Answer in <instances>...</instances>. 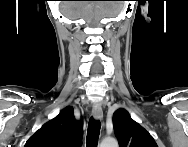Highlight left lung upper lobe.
Wrapping results in <instances>:
<instances>
[{"instance_id": "left-lung-upper-lobe-1", "label": "left lung upper lobe", "mask_w": 188, "mask_h": 147, "mask_svg": "<svg viewBox=\"0 0 188 147\" xmlns=\"http://www.w3.org/2000/svg\"><path fill=\"white\" fill-rule=\"evenodd\" d=\"M113 125L120 147H158L149 132L123 108L114 112Z\"/></svg>"}]
</instances>
